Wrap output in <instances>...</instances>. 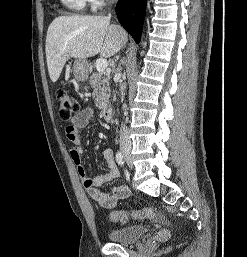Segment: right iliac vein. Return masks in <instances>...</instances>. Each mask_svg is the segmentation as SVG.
<instances>
[{
	"label": "right iliac vein",
	"mask_w": 247,
	"mask_h": 257,
	"mask_svg": "<svg viewBox=\"0 0 247 257\" xmlns=\"http://www.w3.org/2000/svg\"><path fill=\"white\" fill-rule=\"evenodd\" d=\"M122 153H123V156H124L125 160L127 161V163H128L130 166H132V159H131V155H130L129 150L124 149V150L122 151Z\"/></svg>",
	"instance_id": "obj_1"
}]
</instances>
